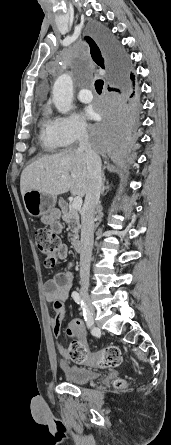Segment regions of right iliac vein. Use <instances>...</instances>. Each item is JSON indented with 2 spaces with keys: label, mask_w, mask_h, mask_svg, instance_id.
Returning <instances> with one entry per match:
<instances>
[{
  "label": "right iliac vein",
  "mask_w": 171,
  "mask_h": 445,
  "mask_svg": "<svg viewBox=\"0 0 171 445\" xmlns=\"http://www.w3.org/2000/svg\"><path fill=\"white\" fill-rule=\"evenodd\" d=\"M81 295H82V297L85 301V304L88 308L89 314H90L91 318L93 319L95 317V308L92 305L91 300L86 292H81Z\"/></svg>",
  "instance_id": "63e3f726"
}]
</instances>
